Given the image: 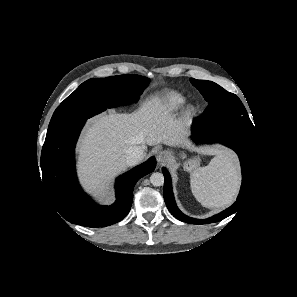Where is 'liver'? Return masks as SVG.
<instances>
[{"label": "liver", "mask_w": 297, "mask_h": 297, "mask_svg": "<svg viewBox=\"0 0 297 297\" xmlns=\"http://www.w3.org/2000/svg\"><path fill=\"white\" fill-rule=\"evenodd\" d=\"M188 131L159 98L135 112L109 111L90 120L78 145V169L85 188L104 197L111 179L127 168L129 149L147 145L190 147Z\"/></svg>", "instance_id": "obj_1"}]
</instances>
